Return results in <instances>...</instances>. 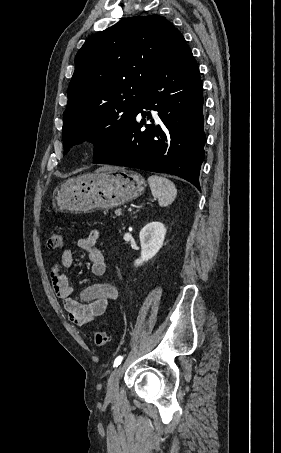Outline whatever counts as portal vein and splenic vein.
Masks as SVG:
<instances>
[{
	"label": "portal vein and splenic vein",
	"mask_w": 281,
	"mask_h": 453,
	"mask_svg": "<svg viewBox=\"0 0 281 453\" xmlns=\"http://www.w3.org/2000/svg\"><path fill=\"white\" fill-rule=\"evenodd\" d=\"M142 205H132V207H128V212H133V208H142Z\"/></svg>",
	"instance_id": "portal-vein-and-splenic-vein-1"
}]
</instances>
